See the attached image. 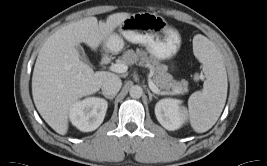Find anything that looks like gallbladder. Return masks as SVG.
<instances>
[{"label": "gallbladder", "instance_id": "obj_1", "mask_svg": "<svg viewBox=\"0 0 267 166\" xmlns=\"http://www.w3.org/2000/svg\"><path fill=\"white\" fill-rule=\"evenodd\" d=\"M76 49L78 50L79 54H80V57L81 59L85 62V63H89L88 59L86 58V55H85V52H84V49L81 45H78L76 47Z\"/></svg>", "mask_w": 267, "mask_h": 166}]
</instances>
